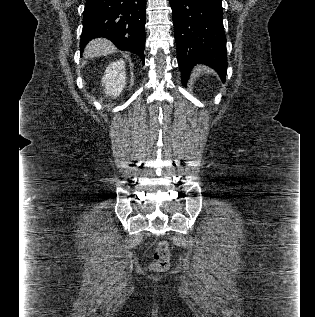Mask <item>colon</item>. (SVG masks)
Here are the masks:
<instances>
[{"instance_id": "5ec220e1", "label": "colon", "mask_w": 315, "mask_h": 317, "mask_svg": "<svg viewBox=\"0 0 315 317\" xmlns=\"http://www.w3.org/2000/svg\"><path fill=\"white\" fill-rule=\"evenodd\" d=\"M170 257L171 254L167 242H159L153 254L151 268L156 272L165 271L169 266Z\"/></svg>"}]
</instances>
